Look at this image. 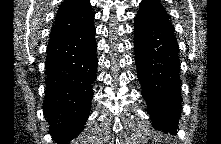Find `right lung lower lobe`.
Wrapping results in <instances>:
<instances>
[{
	"instance_id": "98d812e1",
	"label": "right lung lower lobe",
	"mask_w": 221,
	"mask_h": 144,
	"mask_svg": "<svg viewBox=\"0 0 221 144\" xmlns=\"http://www.w3.org/2000/svg\"><path fill=\"white\" fill-rule=\"evenodd\" d=\"M95 27L86 28L48 44L44 115L49 133L58 144L73 139L88 119L97 78Z\"/></svg>"
}]
</instances>
